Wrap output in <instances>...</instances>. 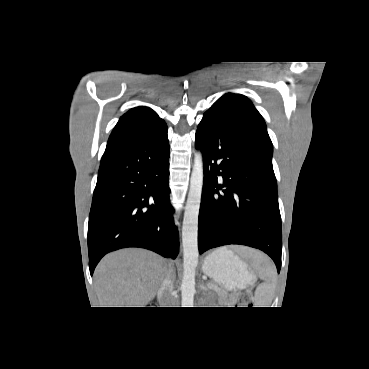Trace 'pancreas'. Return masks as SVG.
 Masks as SVG:
<instances>
[{
  "label": "pancreas",
  "mask_w": 369,
  "mask_h": 369,
  "mask_svg": "<svg viewBox=\"0 0 369 369\" xmlns=\"http://www.w3.org/2000/svg\"><path fill=\"white\" fill-rule=\"evenodd\" d=\"M207 287L211 290H214L220 297L222 301H226L228 305H233L237 301V295H228V292L219 288L213 282H208ZM229 296V299H228Z\"/></svg>",
  "instance_id": "1"
}]
</instances>
